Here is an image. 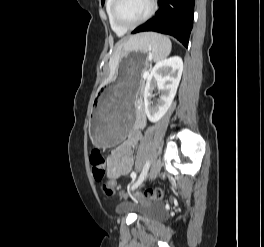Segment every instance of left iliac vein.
I'll list each match as a JSON object with an SVG mask.
<instances>
[{"mask_svg": "<svg viewBox=\"0 0 264 247\" xmlns=\"http://www.w3.org/2000/svg\"><path fill=\"white\" fill-rule=\"evenodd\" d=\"M161 167H162L161 160L156 159L151 166V169H150L149 174H148V179L149 180L154 179L158 175V173L160 172Z\"/></svg>", "mask_w": 264, "mask_h": 247, "instance_id": "1", "label": "left iliac vein"}]
</instances>
